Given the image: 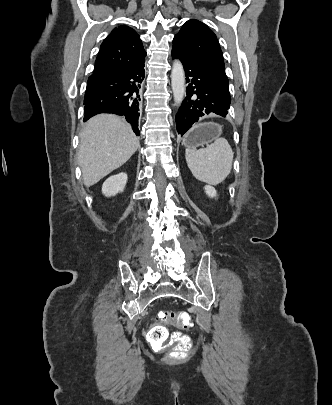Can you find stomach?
<instances>
[{
    "label": "stomach",
    "instance_id": "obj_1",
    "mask_svg": "<svg viewBox=\"0 0 332 405\" xmlns=\"http://www.w3.org/2000/svg\"><path fill=\"white\" fill-rule=\"evenodd\" d=\"M222 128L213 122H205L194 125L184 136L182 144L187 149H196L199 146L208 145L220 137Z\"/></svg>",
    "mask_w": 332,
    "mask_h": 405
}]
</instances>
